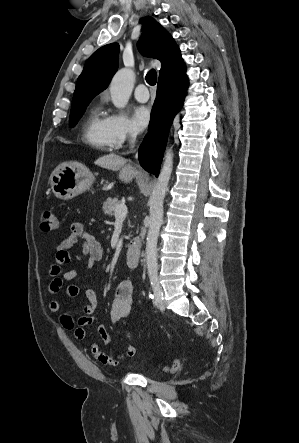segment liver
<instances>
[{"instance_id":"obj_1","label":"liver","mask_w":299,"mask_h":443,"mask_svg":"<svg viewBox=\"0 0 299 443\" xmlns=\"http://www.w3.org/2000/svg\"><path fill=\"white\" fill-rule=\"evenodd\" d=\"M95 164L113 171H119L118 178L124 183H130L138 176V171L128 161L119 155L110 153L99 157Z\"/></svg>"}]
</instances>
